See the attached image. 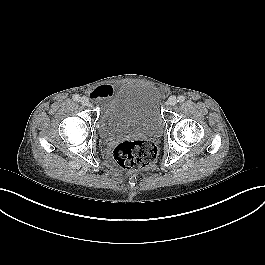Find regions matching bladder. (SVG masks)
I'll return each instance as SVG.
<instances>
[{"label":"bladder","mask_w":265,"mask_h":265,"mask_svg":"<svg viewBox=\"0 0 265 265\" xmlns=\"http://www.w3.org/2000/svg\"><path fill=\"white\" fill-rule=\"evenodd\" d=\"M164 128L156 88L149 83L122 85L102 106L97 132L105 141L127 135L158 137Z\"/></svg>","instance_id":"obj_1"}]
</instances>
